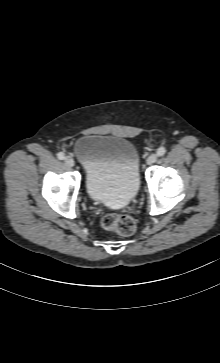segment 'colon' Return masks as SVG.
<instances>
[{
	"instance_id": "1",
	"label": "colon",
	"mask_w": 220,
	"mask_h": 363,
	"mask_svg": "<svg viewBox=\"0 0 220 363\" xmlns=\"http://www.w3.org/2000/svg\"><path fill=\"white\" fill-rule=\"evenodd\" d=\"M101 225L104 229L116 232L121 236H130L136 230L134 219L126 214L108 213L101 219Z\"/></svg>"
}]
</instances>
